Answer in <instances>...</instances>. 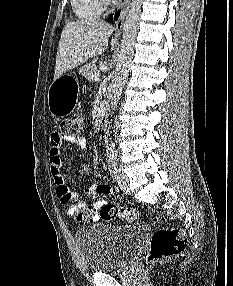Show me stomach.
Listing matches in <instances>:
<instances>
[{
	"label": "stomach",
	"instance_id": "1",
	"mask_svg": "<svg viewBox=\"0 0 233 286\" xmlns=\"http://www.w3.org/2000/svg\"><path fill=\"white\" fill-rule=\"evenodd\" d=\"M77 102V89L72 87L64 76L54 79L48 90L50 113L56 118L69 114Z\"/></svg>",
	"mask_w": 233,
	"mask_h": 286
}]
</instances>
